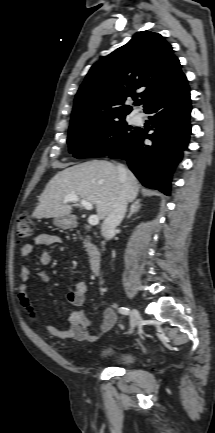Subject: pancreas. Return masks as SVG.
Returning a JSON list of instances; mask_svg holds the SVG:
<instances>
[{"label": "pancreas", "instance_id": "obj_1", "mask_svg": "<svg viewBox=\"0 0 215 433\" xmlns=\"http://www.w3.org/2000/svg\"><path fill=\"white\" fill-rule=\"evenodd\" d=\"M84 247L86 248V251H87L89 254H92L93 252L96 251V247H95L94 244L91 243L89 237H87V238L84 240Z\"/></svg>", "mask_w": 215, "mask_h": 433}]
</instances>
